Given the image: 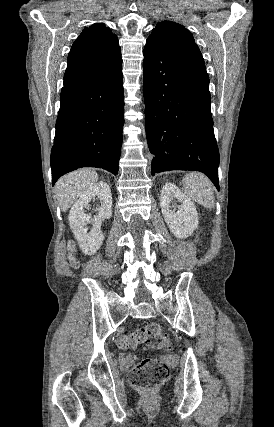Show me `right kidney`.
I'll use <instances>...</instances> for the list:
<instances>
[{
    "label": "right kidney",
    "instance_id": "ca27d5eb",
    "mask_svg": "<svg viewBox=\"0 0 274 427\" xmlns=\"http://www.w3.org/2000/svg\"><path fill=\"white\" fill-rule=\"evenodd\" d=\"M99 198L101 204L97 206L95 217L84 214V208L89 206L91 200ZM112 215V194L110 186L106 182L91 184L88 190L80 194L79 200L73 204L69 215L70 227L74 233L75 239L79 243L80 249L86 255H94L97 249L101 247L104 235L101 231V223ZM92 223L91 231H88L86 225Z\"/></svg>",
    "mask_w": 274,
    "mask_h": 427
}]
</instances>
